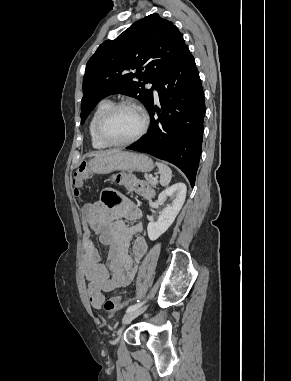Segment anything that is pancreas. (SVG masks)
<instances>
[{
  "label": "pancreas",
  "mask_w": 291,
  "mask_h": 381,
  "mask_svg": "<svg viewBox=\"0 0 291 381\" xmlns=\"http://www.w3.org/2000/svg\"><path fill=\"white\" fill-rule=\"evenodd\" d=\"M145 179H146V181H147L150 185H152V186H156V184H157V180H156V179H154V178H150L149 175H147V174H145Z\"/></svg>",
  "instance_id": "obj_1"
}]
</instances>
